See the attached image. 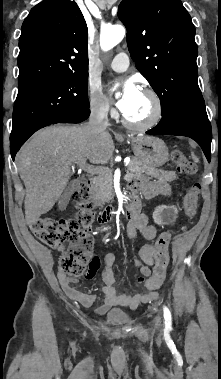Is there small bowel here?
Wrapping results in <instances>:
<instances>
[{
    "label": "small bowel",
    "mask_w": 221,
    "mask_h": 379,
    "mask_svg": "<svg viewBox=\"0 0 221 379\" xmlns=\"http://www.w3.org/2000/svg\"><path fill=\"white\" fill-rule=\"evenodd\" d=\"M131 188L134 191H141L146 198H153L157 195H170L169 185L162 180L147 181L140 179L132 183ZM127 236L129 239H134L137 235H141L145 240H153L157 235V229L154 225L150 224L146 214L138 212L129 217L126 228ZM156 248L152 244H146L141 247L139 251V259L134 260V265L139 268L140 273L148 277L151 274V267L155 261ZM115 255L107 253L104 256L106 269L101 273L103 303L96 308V313L101 315L105 313L110 307L114 305L128 306L136 308L140 303L156 297L155 292L147 294L136 293H123L119 292L116 287V279L114 274ZM90 266L87 267L86 272H83V279L87 282L95 281V274L101 271L102 266L99 264L98 254L92 253L89 258ZM60 285L66 296L84 307H91L96 300V293L93 291H80L74 287L77 280L68 276L63 272L58 273Z\"/></svg>",
    "instance_id": "1"
}]
</instances>
